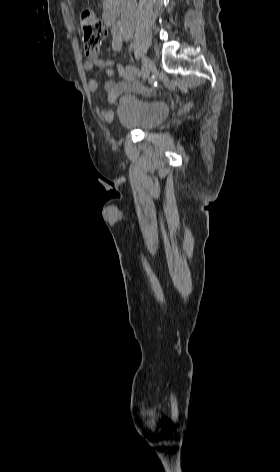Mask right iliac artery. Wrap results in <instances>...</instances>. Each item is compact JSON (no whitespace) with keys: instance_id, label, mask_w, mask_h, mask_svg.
Returning a JSON list of instances; mask_svg holds the SVG:
<instances>
[{"instance_id":"obj_1","label":"right iliac artery","mask_w":280,"mask_h":472,"mask_svg":"<svg viewBox=\"0 0 280 472\" xmlns=\"http://www.w3.org/2000/svg\"><path fill=\"white\" fill-rule=\"evenodd\" d=\"M112 47L115 51H119L122 47V28L120 25H115L113 27ZM126 71L134 78H137L140 76V71L135 66H131V65L127 66Z\"/></svg>"}]
</instances>
